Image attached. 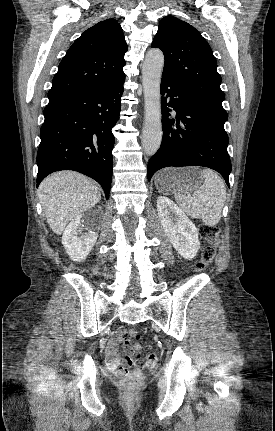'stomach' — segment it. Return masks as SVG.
Wrapping results in <instances>:
<instances>
[{"instance_id":"stomach-1","label":"stomach","mask_w":275,"mask_h":431,"mask_svg":"<svg viewBox=\"0 0 275 431\" xmlns=\"http://www.w3.org/2000/svg\"><path fill=\"white\" fill-rule=\"evenodd\" d=\"M203 177L198 168H167L155 177V185L163 193H189L203 183Z\"/></svg>"}]
</instances>
